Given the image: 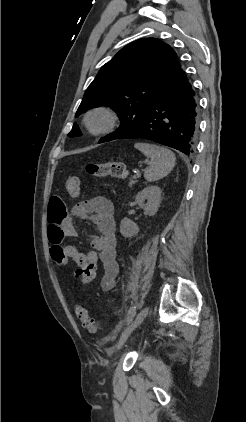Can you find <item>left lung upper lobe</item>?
Segmentation results:
<instances>
[{
    "label": "left lung upper lobe",
    "mask_w": 246,
    "mask_h": 422,
    "mask_svg": "<svg viewBox=\"0 0 246 422\" xmlns=\"http://www.w3.org/2000/svg\"><path fill=\"white\" fill-rule=\"evenodd\" d=\"M175 51L156 38H143L126 45L98 72L87 88L76 117L98 106H109L121 125L99 143L114 140L135 126L146 109L180 69ZM69 137L81 136L75 123Z\"/></svg>",
    "instance_id": "obj_1"
}]
</instances>
